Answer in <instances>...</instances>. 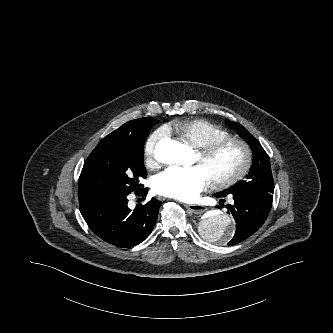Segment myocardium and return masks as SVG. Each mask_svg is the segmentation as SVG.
<instances>
[{
  "label": "myocardium",
  "instance_id": "f54148a6",
  "mask_svg": "<svg viewBox=\"0 0 333 333\" xmlns=\"http://www.w3.org/2000/svg\"><path fill=\"white\" fill-rule=\"evenodd\" d=\"M228 146H236L240 150L241 161L237 168L231 170L225 175L214 176L211 178L212 183L218 187L231 186L247 175L252 166V150L245 141L233 137L222 138L210 142L204 146L198 147V156L202 160H207L214 156L217 152Z\"/></svg>",
  "mask_w": 333,
  "mask_h": 333
}]
</instances>
